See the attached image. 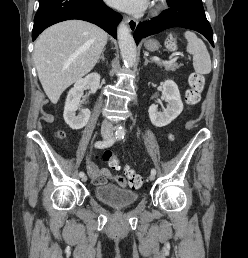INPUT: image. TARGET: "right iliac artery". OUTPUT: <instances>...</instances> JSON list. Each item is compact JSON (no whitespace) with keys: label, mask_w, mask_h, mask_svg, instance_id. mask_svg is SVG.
<instances>
[{"label":"right iliac artery","mask_w":248,"mask_h":258,"mask_svg":"<svg viewBox=\"0 0 248 258\" xmlns=\"http://www.w3.org/2000/svg\"><path fill=\"white\" fill-rule=\"evenodd\" d=\"M120 135L119 134H115L114 137H112L111 139H108V140H104V141H98L95 143V147L97 148H107V147H110L111 145L114 144V142L119 139ZM85 174L84 172H80L79 173V176L80 177H83Z\"/></svg>","instance_id":"obj_1"}]
</instances>
